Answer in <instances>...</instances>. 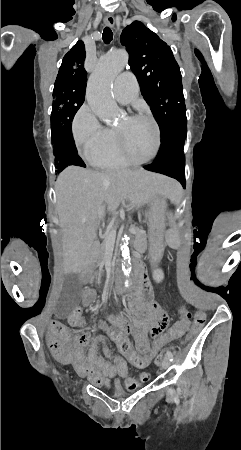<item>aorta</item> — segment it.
<instances>
[{
  "label": "aorta",
  "mask_w": 241,
  "mask_h": 450,
  "mask_svg": "<svg viewBox=\"0 0 241 450\" xmlns=\"http://www.w3.org/2000/svg\"><path fill=\"white\" fill-rule=\"evenodd\" d=\"M128 64V54L125 50L109 52L98 61L88 84L86 98L95 115L107 124L113 123L120 115L111 86L116 76ZM121 244L122 270L126 276L131 272L129 237L124 236Z\"/></svg>",
  "instance_id": "1"
}]
</instances>
